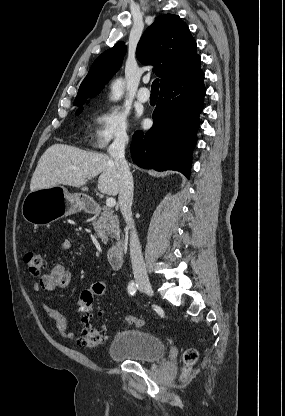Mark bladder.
<instances>
[{
	"instance_id": "bladder-1",
	"label": "bladder",
	"mask_w": 285,
	"mask_h": 416,
	"mask_svg": "<svg viewBox=\"0 0 285 416\" xmlns=\"http://www.w3.org/2000/svg\"><path fill=\"white\" fill-rule=\"evenodd\" d=\"M165 340L141 329L119 330L113 337L108 354L119 360L150 362L162 358Z\"/></svg>"
}]
</instances>
